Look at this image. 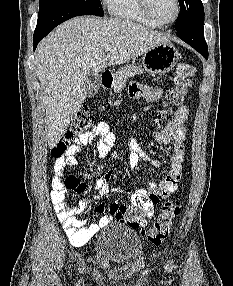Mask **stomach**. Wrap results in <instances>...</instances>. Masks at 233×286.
Wrapping results in <instances>:
<instances>
[{"mask_svg":"<svg viewBox=\"0 0 233 286\" xmlns=\"http://www.w3.org/2000/svg\"><path fill=\"white\" fill-rule=\"evenodd\" d=\"M180 57L176 47L170 42H163L143 54L144 69L152 75L167 73L173 69Z\"/></svg>","mask_w":233,"mask_h":286,"instance_id":"stomach-1","label":"stomach"}]
</instances>
